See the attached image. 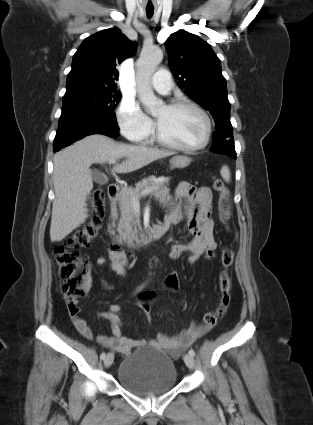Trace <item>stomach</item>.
<instances>
[{
  "label": "stomach",
  "instance_id": "obj_1",
  "mask_svg": "<svg viewBox=\"0 0 313 425\" xmlns=\"http://www.w3.org/2000/svg\"><path fill=\"white\" fill-rule=\"evenodd\" d=\"M192 159L186 155H177L170 160L171 169H182L191 163Z\"/></svg>",
  "mask_w": 313,
  "mask_h": 425
}]
</instances>
